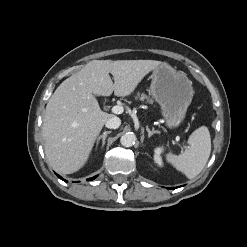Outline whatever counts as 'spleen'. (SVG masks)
I'll return each mask as SVG.
<instances>
[{"instance_id": "obj_1", "label": "spleen", "mask_w": 247, "mask_h": 247, "mask_svg": "<svg viewBox=\"0 0 247 247\" xmlns=\"http://www.w3.org/2000/svg\"><path fill=\"white\" fill-rule=\"evenodd\" d=\"M189 146L179 155L168 153L166 160L189 179L205 167L211 152V138L206 126L196 129L188 139Z\"/></svg>"}]
</instances>
